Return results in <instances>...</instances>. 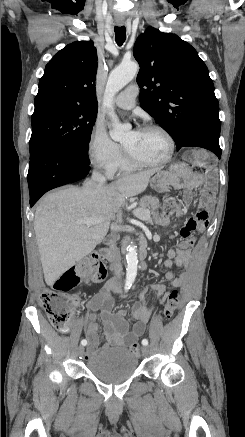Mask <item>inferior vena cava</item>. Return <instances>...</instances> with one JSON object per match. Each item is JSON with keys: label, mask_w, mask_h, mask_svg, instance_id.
I'll list each match as a JSON object with an SVG mask.
<instances>
[{"label": "inferior vena cava", "mask_w": 245, "mask_h": 437, "mask_svg": "<svg viewBox=\"0 0 245 437\" xmlns=\"http://www.w3.org/2000/svg\"><path fill=\"white\" fill-rule=\"evenodd\" d=\"M91 180L98 184L99 186H104L106 183V178L97 170H93ZM110 248L113 252V260L111 270L114 272V275L119 277L122 273V264L120 262V257L117 253V244L116 240L110 241Z\"/></svg>", "instance_id": "1"}]
</instances>
